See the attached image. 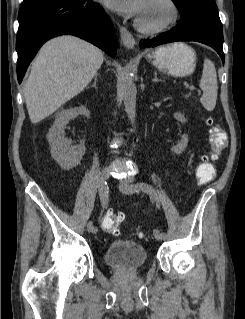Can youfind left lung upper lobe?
Returning <instances> with one entry per match:
<instances>
[{
  "instance_id": "1",
  "label": "left lung upper lobe",
  "mask_w": 245,
  "mask_h": 319,
  "mask_svg": "<svg viewBox=\"0 0 245 319\" xmlns=\"http://www.w3.org/2000/svg\"><path fill=\"white\" fill-rule=\"evenodd\" d=\"M181 14V21L195 18L206 19L222 26L214 0H172Z\"/></svg>"
}]
</instances>
